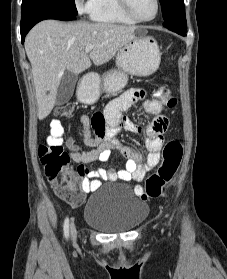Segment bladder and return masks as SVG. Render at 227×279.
I'll return each instance as SVG.
<instances>
[{
	"instance_id": "1",
	"label": "bladder",
	"mask_w": 227,
	"mask_h": 279,
	"mask_svg": "<svg viewBox=\"0 0 227 279\" xmlns=\"http://www.w3.org/2000/svg\"><path fill=\"white\" fill-rule=\"evenodd\" d=\"M148 206L126 186H102L90 197L84 222L107 232L127 231L139 226L148 214Z\"/></svg>"
}]
</instances>
